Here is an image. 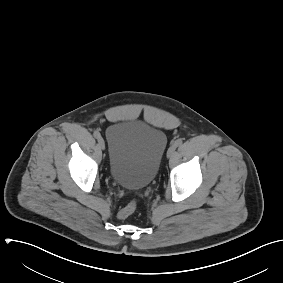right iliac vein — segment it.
I'll use <instances>...</instances> for the list:
<instances>
[{"label":"right iliac vein","instance_id":"right-iliac-vein-1","mask_svg":"<svg viewBox=\"0 0 283 283\" xmlns=\"http://www.w3.org/2000/svg\"><path fill=\"white\" fill-rule=\"evenodd\" d=\"M98 145H99L100 149H102V150L105 149V142H104L103 138L98 139Z\"/></svg>","mask_w":283,"mask_h":283}]
</instances>
